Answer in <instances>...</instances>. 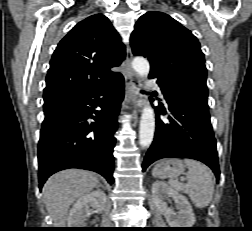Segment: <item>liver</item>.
Masks as SVG:
<instances>
[{"label": "liver", "instance_id": "6515ba94", "mask_svg": "<svg viewBox=\"0 0 252 231\" xmlns=\"http://www.w3.org/2000/svg\"><path fill=\"white\" fill-rule=\"evenodd\" d=\"M98 185L97 176L85 170H64L51 176L43 187V198L54 227L64 228L71 204Z\"/></svg>", "mask_w": 252, "mask_h": 231}]
</instances>
